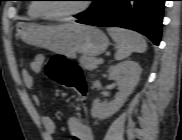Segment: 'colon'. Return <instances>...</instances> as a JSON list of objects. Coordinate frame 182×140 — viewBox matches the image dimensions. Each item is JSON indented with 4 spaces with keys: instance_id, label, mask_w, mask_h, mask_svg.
<instances>
[{
    "instance_id": "obj_1",
    "label": "colon",
    "mask_w": 182,
    "mask_h": 140,
    "mask_svg": "<svg viewBox=\"0 0 182 140\" xmlns=\"http://www.w3.org/2000/svg\"><path fill=\"white\" fill-rule=\"evenodd\" d=\"M46 70L51 78L74 91L85 104L87 85L75 62L63 57L55 58L48 63Z\"/></svg>"
}]
</instances>
